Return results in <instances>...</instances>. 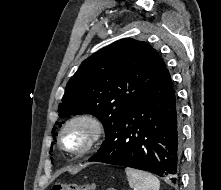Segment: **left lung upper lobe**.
<instances>
[{"label": "left lung upper lobe", "instance_id": "1", "mask_svg": "<svg viewBox=\"0 0 221 190\" xmlns=\"http://www.w3.org/2000/svg\"><path fill=\"white\" fill-rule=\"evenodd\" d=\"M164 69L165 64L148 43L118 40L82 62L67 83L59 116L93 114L107 134Z\"/></svg>", "mask_w": 221, "mask_h": 190}]
</instances>
